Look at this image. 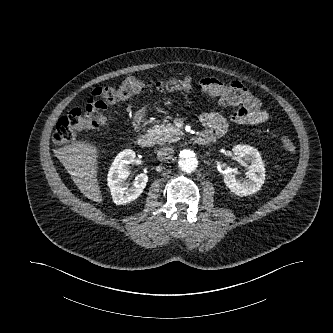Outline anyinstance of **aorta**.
<instances>
[{"instance_id":"762f6f07","label":"aorta","mask_w":333,"mask_h":333,"mask_svg":"<svg viewBox=\"0 0 333 333\" xmlns=\"http://www.w3.org/2000/svg\"><path fill=\"white\" fill-rule=\"evenodd\" d=\"M178 165L186 173L195 171L198 167V160L195 153L190 149H184L179 153Z\"/></svg>"}]
</instances>
